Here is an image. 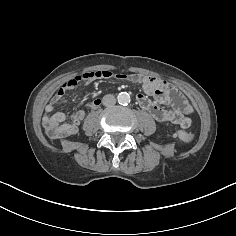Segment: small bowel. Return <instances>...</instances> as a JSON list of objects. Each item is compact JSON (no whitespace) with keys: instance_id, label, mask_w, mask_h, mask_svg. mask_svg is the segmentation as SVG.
<instances>
[{"instance_id":"1","label":"small bowel","mask_w":236,"mask_h":236,"mask_svg":"<svg viewBox=\"0 0 236 236\" xmlns=\"http://www.w3.org/2000/svg\"><path fill=\"white\" fill-rule=\"evenodd\" d=\"M101 72V71H99ZM98 72H87L66 80L53 95L50 102L45 107L43 116V126L51 139H61L72 136L77 133L81 121L85 117L83 110L73 112L66 122V115L62 112L53 113L56 105L65 102L67 92L75 89L81 82L89 83L96 78L109 79L97 76ZM134 79L129 80L124 75H117L119 80H126L141 84L144 93L137 95L139 106L149 112L151 116L161 123H173L182 128H188L191 125L190 115L193 113L191 103L168 82L154 77L133 74ZM111 78V77H110ZM149 96L161 104H171L173 108H162L156 102L152 101ZM100 100L95 99L87 102L90 108H97Z\"/></svg>"}]
</instances>
